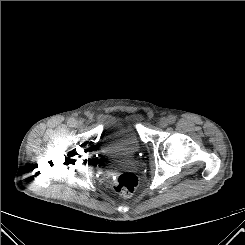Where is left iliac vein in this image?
<instances>
[{
    "label": "left iliac vein",
    "instance_id": "obj_1",
    "mask_svg": "<svg viewBox=\"0 0 245 245\" xmlns=\"http://www.w3.org/2000/svg\"><path fill=\"white\" fill-rule=\"evenodd\" d=\"M168 123H169V120L165 117L161 118L159 121V125L162 128H165L168 125Z\"/></svg>",
    "mask_w": 245,
    "mask_h": 245
}]
</instances>
